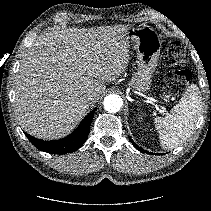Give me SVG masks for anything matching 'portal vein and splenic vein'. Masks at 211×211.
I'll use <instances>...</instances> for the list:
<instances>
[{"label":"portal vein and splenic vein","instance_id":"1","mask_svg":"<svg viewBox=\"0 0 211 211\" xmlns=\"http://www.w3.org/2000/svg\"><path fill=\"white\" fill-rule=\"evenodd\" d=\"M157 106L160 108V111H161L162 113L166 112V110H165L164 107H162V106H160V105H157Z\"/></svg>","mask_w":211,"mask_h":211}]
</instances>
